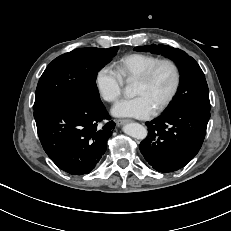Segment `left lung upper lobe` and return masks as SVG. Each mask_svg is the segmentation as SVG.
Segmentation results:
<instances>
[{
  "mask_svg": "<svg viewBox=\"0 0 231 231\" xmlns=\"http://www.w3.org/2000/svg\"><path fill=\"white\" fill-rule=\"evenodd\" d=\"M136 51H150L173 60L180 71L181 81L177 95L164 112L179 108H199L210 111L209 90L205 75L198 63L184 51L162 44L135 47Z\"/></svg>",
  "mask_w": 231,
  "mask_h": 231,
  "instance_id": "1",
  "label": "left lung upper lobe"
}]
</instances>
